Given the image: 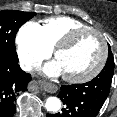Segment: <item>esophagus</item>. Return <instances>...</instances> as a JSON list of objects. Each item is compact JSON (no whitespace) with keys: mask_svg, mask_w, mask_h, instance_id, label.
Listing matches in <instances>:
<instances>
[{"mask_svg":"<svg viewBox=\"0 0 117 117\" xmlns=\"http://www.w3.org/2000/svg\"><path fill=\"white\" fill-rule=\"evenodd\" d=\"M36 91H46L52 93L56 90L55 85L46 82L33 81L32 86Z\"/></svg>","mask_w":117,"mask_h":117,"instance_id":"obj_1","label":"esophagus"}]
</instances>
